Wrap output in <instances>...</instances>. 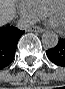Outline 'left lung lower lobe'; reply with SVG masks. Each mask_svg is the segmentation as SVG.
<instances>
[{"mask_svg": "<svg viewBox=\"0 0 65 89\" xmlns=\"http://www.w3.org/2000/svg\"><path fill=\"white\" fill-rule=\"evenodd\" d=\"M46 54L53 63L65 67V38H60L57 46L47 50Z\"/></svg>", "mask_w": 65, "mask_h": 89, "instance_id": "1", "label": "left lung lower lobe"}]
</instances>
